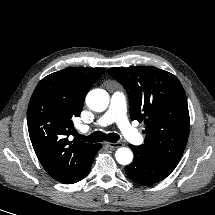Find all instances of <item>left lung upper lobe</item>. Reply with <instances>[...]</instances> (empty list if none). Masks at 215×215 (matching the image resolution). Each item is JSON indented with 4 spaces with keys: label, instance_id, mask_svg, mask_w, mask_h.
Here are the masks:
<instances>
[{
    "label": "left lung upper lobe",
    "instance_id": "left-lung-upper-lobe-1",
    "mask_svg": "<svg viewBox=\"0 0 215 215\" xmlns=\"http://www.w3.org/2000/svg\"><path fill=\"white\" fill-rule=\"evenodd\" d=\"M108 73L129 93L132 120L146 124L150 156L175 168L185 150L190 119L185 91L173 74L150 66L114 67Z\"/></svg>",
    "mask_w": 215,
    "mask_h": 215
}]
</instances>
